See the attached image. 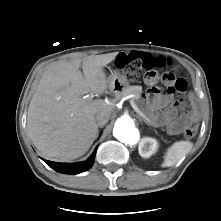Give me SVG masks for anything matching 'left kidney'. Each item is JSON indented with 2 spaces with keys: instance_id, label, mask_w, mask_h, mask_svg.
Listing matches in <instances>:
<instances>
[{
  "instance_id": "5707ae66",
  "label": "left kidney",
  "mask_w": 221,
  "mask_h": 221,
  "mask_svg": "<svg viewBox=\"0 0 221 221\" xmlns=\"http://www.w3.org/2000/svg\"><path fill=\"white\" fill-rule=\"evenodd\" d=\"M158 142L154 138L144 137L139 144V154L143 158H149L156 152Z\"/></svg>"
}]
</instances>
